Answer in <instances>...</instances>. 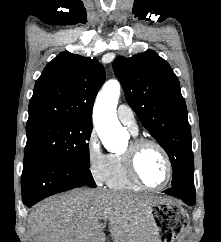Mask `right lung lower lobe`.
I'll list each match as a JSON object with an SVG mask.
<instances>
[{
    "instance_id": "1",
    "label": "right lung lower lobe",
    "mask_w": 221,
    "mask_h": 242,
    "mask_svg": "<svg viewBox=\"0 0 221 242\" xmlns=\"http://www.w3.org/2000/svg\"><path fill=\"white\" fill-rule=\"evenodd\" d=\"M84 185L96 187L87 167L50 156L24 158L21 188L23 203L28 207L48 196Z\"/></svg>"
}]
</instances>
